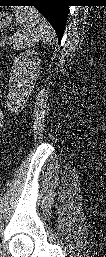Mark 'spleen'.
Returning <instances> with one entry per match:
<instances>
[{
  "instance_id": "obj_1",
  "label": "spleen",
  "mask_w": 106,
  "mask_h": 257,
  "mask_svg": "<svg viewBox=\"0 0 106 257\" xmlns=\"http://www.w3.org/2000/svg\"><path fill=\"white\" fill-rule=\"evenodd\" d=\"M15 16L17 23L23 25L22 32L18 34L22 48H30L39 40L51 44L55 33L34 7H15Z\"/></svg>"
}]
</instances>
